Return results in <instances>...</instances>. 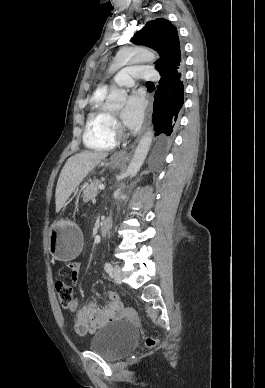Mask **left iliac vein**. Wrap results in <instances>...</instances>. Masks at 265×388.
<instances>
[{
    "instance_id": "left-iliac-vein-1",
    "label": "left iliac vein",
    "mask_w": 265,
    "mask_h": 388,
    "mask_svg": "<svg viewBox=\"0 0 265 388\" xmlns=\"http://www.w3.org/2000/svg\"><path fill=\"white\" fill-rule=\"evenodd\" d=\"M113 279L116 283H121L122 282V272H121V268L119 265H115L114 266V270H113Z\"/></svg>"
}]
</instances>
